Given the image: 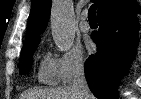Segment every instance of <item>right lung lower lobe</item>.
<instances>
[{
  "instance_id": "1",
  "label": "right lung lower lobe",
  "mask_w": 141,
  "mask_h": 99,
  "mask_svg": "<svg viewBox=\"0 0 141 99\" xmlns=\"http://www.w3.org/2000/svg\"><path fill=\"white\" fill-rule=\"evenodd\" d=\"M134 0H110L98 13L99 30L92 34L97 53L89 56L84 69L92 93L98 99H116V86L135 55L138 44Z\"/></svg>"
}]
</instances>
